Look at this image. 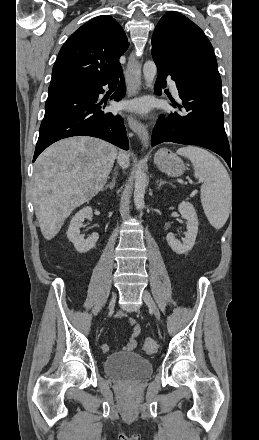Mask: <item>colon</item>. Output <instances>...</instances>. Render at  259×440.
<instances>
[{"label": "colon", "instance_id": "obj_1", "mask_svg": "<svg viewBox=\"0 0 259 440\" xmlns=\"http://www.w3.org/2000/svg\"><path fill=\"white\" fill-rule=\"evenodd\" d=\"M142 348L147 354H154L158 350V342L152 337L145 338Z\"/></svg>", "mask_w": 259, "mask_h": 440}]
</instances>
